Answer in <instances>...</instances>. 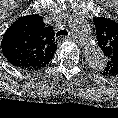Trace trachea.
I'll use <instances>...</instances> for the list:
<instances>
[{"label":"trachea","instance_id":"trachea-1","mask_svg":"<svg viewBox=\"0 0 118 118\" xmlns=\"http://www.w3.org/2000/svg\"><path fill=\"white\" fill-rule=\"evenodd\" d=\"M66 35H68V32L66 30H60L56 33V37L66 36Z\"/></svg>","mask_w":118,"mask_h":118}]
</instances>
